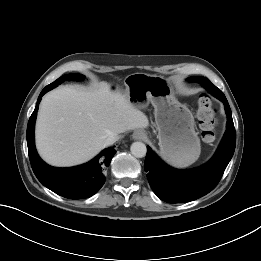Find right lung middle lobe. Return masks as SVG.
Here are the masks:
<instances>
[{
  "mask_svg": "<svg viewBox=\"0 0 261 261\" xmlns=\"http://www.w3.org/2000/svg\"><path fill=\"white\" fill-rule=\"evenodd\" d=\"M83 77L84 76L81 75V74H68V75H65V76H62V77L58 78L53 83H60L61 84L65 80H72V79L77 80V79H82Z\"/></svg>",
  "mask_w": 261,
  "mask_h": 261,
  "instance_id": "dd1d6c3e",
  "label": "right lung middle lobe"
}]
</instances>
